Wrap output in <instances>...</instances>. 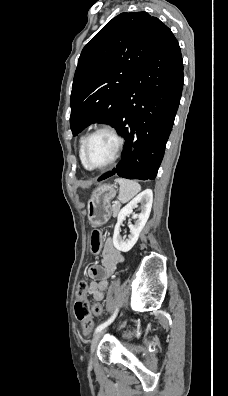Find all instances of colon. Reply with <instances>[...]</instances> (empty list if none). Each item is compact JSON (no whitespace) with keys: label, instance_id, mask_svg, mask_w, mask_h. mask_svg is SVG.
Here are the masks:
<instances>
[{"label":"colon","instance_id":"1","mask_svg":"<svg viewBox=\"0 0 228 396\" xmlns=\"http://www.w3.org/2000/svg\"><path fill=\"white\" fill-rule=\"evenodd\" d=\"M102 235L98 229L92 232L91 250L94 254L99 253L101 247ZM88 284L81 281L78 285L76 300L74 303V313L76 319L81 323L85 333H89L93 328L92 316H99L102 308L99 304H92L86 298Z\"/></svg>","mask_w":228,"mask_h":396}]
</instances>
